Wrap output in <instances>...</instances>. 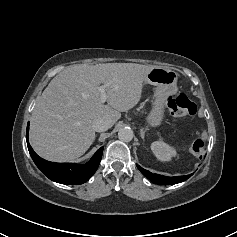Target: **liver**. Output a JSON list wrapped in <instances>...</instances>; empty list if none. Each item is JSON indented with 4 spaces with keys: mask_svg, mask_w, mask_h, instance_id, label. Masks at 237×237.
Listing matches in <instances>:
<instances>
[{
    "mask_svg": "<svg viewBox=\"0 0 237 237\" xmlns=\"http://www.w3.org/2000/svg\"><path fill=\"white\" fill-rule=\"evenodd\" d=\"M154 66L135 63L76 64L57 74L32 112L31 145L50 161L67 162L82 156L95 139L93 122L103 118L112 127L121 112L141 98L143 82ZM107 85V105L97 90Z\"/></svg>",
    "mask_w": 237,
    "mask_h": 237,
    "instance_id": "liver-1",
    "label": "liver"
}]
</instances>
